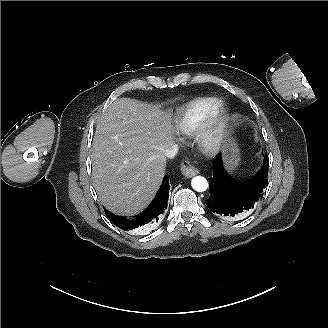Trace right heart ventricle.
<instances>
[{"label": "right heart ventricle", "mask_w": 328, "mask_h": 328, "mask_svg": "<svg viewBox=\"0 0 328 328\" xmlns=\"http://www.w3.org/2000/svg\"><path fill=\"white\" fill-rule=\"evenodd\" d=\"M216 100L214 97H198L186 101L183 107L178 111L180 117V136L179 139L193 135L198 117L202 111Z\"/></svg>", "instance_id": "e07e8e85"}]
</instances>
